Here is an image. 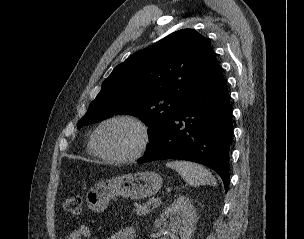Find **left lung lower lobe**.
Segmentation results:
<instances>
[{"mask_svg":"<svg viewBox=\"0 0 304 239\" xmlns=\"http://www.w3.org/2000/svg\"><path fill=\"white\" fill-rule=\"evenodd\" d=\"M232 130L229 93L216 62L138 162L182 159L204 164L221 176L227 192Z\"/></svg>","mask_w":304,"mask_h":239,"instance_id":"1","label":"left lung lower lobe"}]
</instances>
